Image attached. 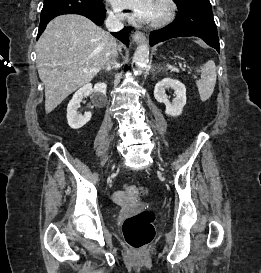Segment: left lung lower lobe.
<instances>
[{"mask_svg": "<svg viewBox=\"0 0 261 273\" xmlns=\"http://www.w3.org/2000/svg\"><path fill=\"white\" fill-rule=\"evenodd\" d=\"M175 21L163 29L151 32L150 45L174 37L196 36L220 52L219 38L209 0H185L177 3Z\"/></svg>", "mask_w": 261, "mask_h": 273, "instance_id": "1", "label": "left lung lower lobe"}]
</instances>
